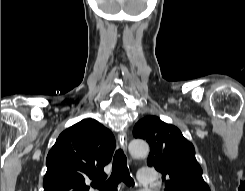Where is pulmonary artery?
<instances>
[{"label": "pulmonary artery", "instance_id": "obj_1", "mask_svg": "<svg viewBox=\"0 0 245 191\" xmlns=\"http://www.w3.org/2000/svg\"><path fill=\"white\" fill-rule=\"evenodd\" d=\"M139 183L143 186H151L155 183V173L150 167L141 168L138 172Z\"/></svg>", "mask_w": 245, "mask_h": 191}]
</instances>
